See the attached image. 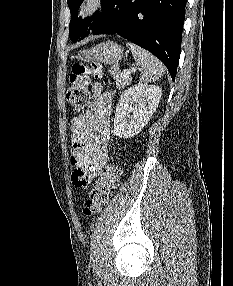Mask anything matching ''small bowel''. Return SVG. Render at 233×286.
I'll return each mask as SVG.
<instances>
[{"label":"small bowel","mask_w":233,"mask_h":286,"mask_svg":"<svg viewBox=\"0 0 233 286\" xmlns=\"http://www.w3.org/2000/svg\"><path fill=\"white\" fill-rule=\"evenodd\" d=\"M111 102V93L95 82L87 109L72 120V183L77 188H87L108 161Z\"/></svg>","instance_id":"1"}]
</instances>
